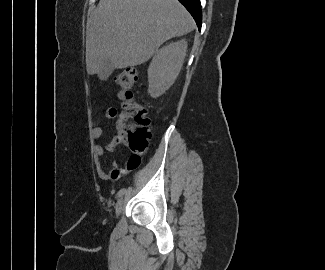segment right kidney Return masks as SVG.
Returning a JSON list of instances; mask_svg holds the SVG:
<instances>
[{
  "mask_svg": "<svg viewBox=\"0 0 325 270\" xmlns=\"http://www.w3.org/2000/svg\"><path fill=\"white\" fill-rule=\"evenodd\" d=\"M187 42L180 40L163 47L153 58L148 69V92L156 98L176 80L186 56Z\"/></svg>",
  "mask_w": 325,
  "mask_h": 270,
  "instance_id": "right-kidney-1",
  "label": "right kidney"
}]
</instances>
